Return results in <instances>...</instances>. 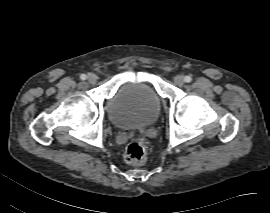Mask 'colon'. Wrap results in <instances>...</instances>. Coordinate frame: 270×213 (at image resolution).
Returning <instances> with one entry per match:
<instances>
[{
    "label": "colon",
    "instance_id": "1",
    "mask_svg": "<svg viewBox=\"0 0 270 213\" xmlns=\"http://www.w3.org/2000/svg\"><path fill=\"white\" fill-rule=\"evenodd\" d=\"M147 156V142L141 137L133 138L128 142L124 151V160L131 165L144 163Z\"/></svg>",
    "mask_w": 270,
    "mask_h": 213
}]
</instances>
